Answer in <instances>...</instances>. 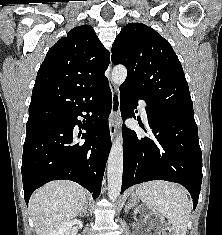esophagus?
<instances>
[{
    "label": "esophagus",
    "instance_id": "obj_1",
    "mask_svg": "<svg viewBox=\"0 0 222 235\" xmlns=\"http://www.w3.org/2000/svg\"><path fill=\"white\" fill-rule=\"evenodd\" d=\"M110 88L112 91V108L109 119V129H110L111 139L114 140L118 130L117 119L120 113V95L118 88L115 85L111 84Z\"/></svg>",
    "mask_w": 222,
    "mask_h": 235
}]
</instances>
